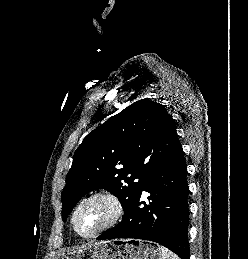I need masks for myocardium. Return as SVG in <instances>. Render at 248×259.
Segmentation results:
<instances>
[{
    "label": "myocardium",
    "instance_id": "1",
    "mask_svg": "<svg viewBox=\"0 0 248 259\" xmlns=\"http://www.w3.org/2000/svg\"><path fill=\"white\" fill-rule=\"evenodd\" d=\"M98 198H103V199H106L109 202H111V204L113 205V208H114L113 216L105 225H103L101 228H99L95 232H93L91 234H82L76 226L77 213H78L79 209L85 203H87L91 200H94V199H98ZM123 213H124L123 203L116 194H114L111 191H106V190L96 191V192H93V193L89 194L88 196L84 197L76 205V207L74 208L73 213H72L71 223H72L73 229L77 235H79L82 238L90 239V238H94V237L102 234L103 232L109 230L110 228L114 227L119 222L121 217L123 216Z\"/></svg>",
    "mask_w": 248,
    "mask_h": 259
}]
</instances>
